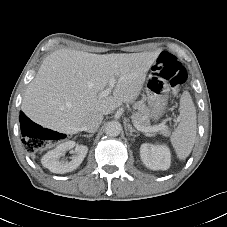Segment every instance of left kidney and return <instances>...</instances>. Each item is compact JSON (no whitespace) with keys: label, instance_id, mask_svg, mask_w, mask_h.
Masks as SVG:
<instances>
[{"label":"left kidney","instance_id":"1","mask_svg":"<svg viewBox=\"0 0 227 227\" xmlns=\"http://www.w3.org/2000/svg\"><path fill=\"white\" fill-rule=\"evenodd\" d=\"M140 156L146 167L152 170H167L171 163V153L165 145L142 144Z\"/></svg>","mask_w":227,"mask_h":227}]
</instances>
